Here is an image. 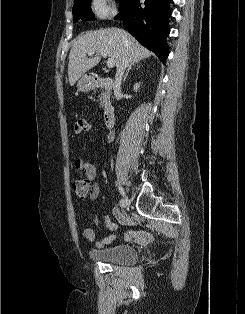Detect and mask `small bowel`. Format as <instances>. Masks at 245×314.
I'll list each match as a JSON object with an SVG mask.
<instances>
[{"mask_svg":"<svg viewBox=\"0 0 245 314\" xmlns=\"http://www.w3.org/2000/svg\"><path fill=\"white\" fill-rule=\"evenodd\" d=\"M80 122H82L84 125L80 124ZM89 128H90L89 123L85 119H80L74 125V133L77 137H79L82 133L89 130ZM113 139H114V135L110 134L109 140L112 141ZM76 167L79 171L85 173L90 180H95L98 173V169H99L98 164L86 162L85 160L81 158L76 160ZM99 191H100L99 186L96 183H93L91 185V193H90L91 200H95L98 197ZM114 215L117 218L122 219V216L117 209H114ZM103 222L105 226L107 227V229H109L113 233L99 240L97 242L99 246L109 244L117 237L118 225L114 222H111L108 217H104ZM83 235L85 239L88 241H94L96 237V233L94 229L92 228L85 229L83 232ZM125 239L127 241L134 240L138 244H146L152 240V234L146 231H129L125 235Z\"/></svg>","mask_w":245,"mask_h":314,"instance_id":"small-bowel-1","label":"small bowel"}]
</instances>
